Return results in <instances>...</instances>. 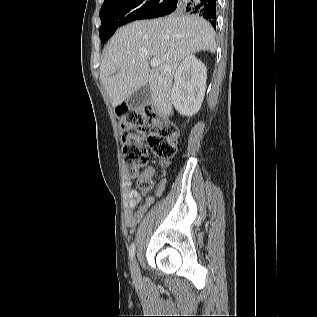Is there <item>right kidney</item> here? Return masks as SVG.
<instances>
[{"mask_svg":"<svg viewBox=\"0 0 317 317\" xmlns=\"http://www.w3.org/2000/svg\"><path fill=\"white\" fill-rule=\"evenodd\" d=\"M207 70L194 55L179 64L171 90L172 104L182 115L190 116L201 107L206 90Z\"/></svg>","mask_w":317,"mask_h":317,"instance_id":"ca27d5eb","label":"right kidney"}]
</instances>
